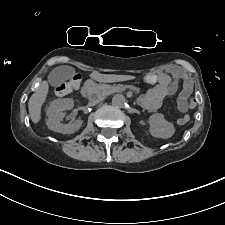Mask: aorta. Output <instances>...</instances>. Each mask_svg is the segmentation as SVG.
Segmentation results:
<instances>
[{"label":"aorta","instance_id":"obj_1","mask_svg":"<svg viewBox=\"0 0 225 225\" xmlns=\"http://www.w3.org/2000/svg\"><path fill=\"white\" fill-rule=\"evenodd\" d=\"M125 96L122 94H116L113 96L112 98V105L118 108H121L124 106L125 104Z\"/></svg>","mask_w":225,"mask_h":225}]
</instances>
